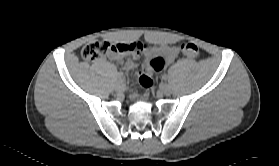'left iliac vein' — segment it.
Wrapping results in <instances>:
<instances>
[{"mask_svg":"<svg viewBox=\"0 0 279 166\" xmlns=\"http://www.w3.org/2000/svg\"><path fill=\"white\" fill-rule=\"evenodd\" d=\"M160 92L164 95H170L172 90H171V87L168 84H162L160 86Z\"/></svg>","mask_w":279,"mask_h":166,"instance_id":"left-iliac-vein-1","label":"left iliac vein"}]
</instances>
